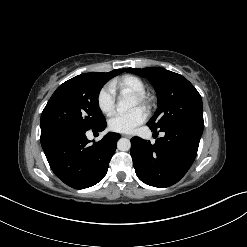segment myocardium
I'll use <instances>...</instances> for the list:
<instances>
[{
	"mask_svg": "<svg viewBox=\"0 0 247 247\" xmlns=\"http://www.w3.org/2000/svg\"><path fill=\"white\" fill-rule=\"evenodd\" d=\"M134 98L137 100L138 105L145 109H150L152 105V96L147 92H140L133 94Z\"/></svg>",
	"mask_w": 247,
	"mask_h": 247,
	"instance_id": "f54148a6",
	"label": "myocardium"
}]
</instances>
